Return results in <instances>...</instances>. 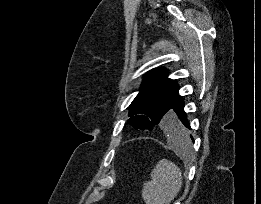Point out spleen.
I'll list each match as a JSON object with an SVG mask.
<instances>
[{"mask_svg": "<svg viewBox=\"0 0 261 204\" xmlns=\"http://www.w3.org/2000/svg\"><path fill=\"white\" fill-rule=\"evenodd\" d=\"M174 148L186 154L190 151L189 137L184 141H176L170 138ZM151 181L143 184L142 198L146 204H170L177 196L182 186L180 169L167 159L160 160L151 171Z\"/></svg>", "mask_w": 261, "mask_h": 204, "instance_id": "spleen-1", "label": "spleen"}]
</instances>
